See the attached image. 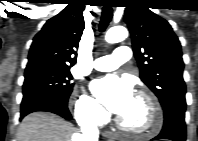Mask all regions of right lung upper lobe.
Segmentation results:
<instances>
[{"instance_id": "obj_1", "label": "right lung upper lobe", "mask_w": 198, "mask_h": 141, "mask_svg": "<svg viewBox=\"0 0 198 141\" xmlns=\"http://www.w3.org/2000/svg\"><path fill=\"white\" fill-rule=\"evenodd\" d=\"M84 3L75 0L49 19L34 37L26 72L38 69H70L85 28Z\"/></svg>"}]
</instances>
